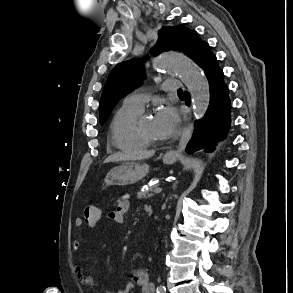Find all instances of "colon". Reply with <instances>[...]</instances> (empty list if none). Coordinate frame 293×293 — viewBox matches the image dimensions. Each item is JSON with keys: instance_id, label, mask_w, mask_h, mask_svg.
<instances>
[{"instance_id": "obj_1", "label": "colon", "mask_w": 293, "mask_h": 293, "mask_svg": "<svg viewBox=\"0 0 293 293\" xmlns=\"http://www.w3.org/2000/svg\"><path fill=\"white\" fill-rule=\"evenodd\" d=\"M100 209L93 205L88 204L83 210V219L89 225H96L100 219Z\"/></svg>"}]
</instances>
